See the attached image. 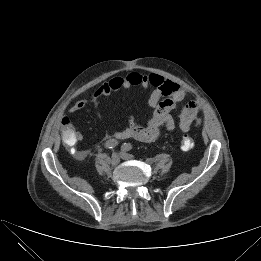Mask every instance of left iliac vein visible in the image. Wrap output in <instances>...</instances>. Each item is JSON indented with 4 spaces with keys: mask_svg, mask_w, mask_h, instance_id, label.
Segmentation results:
<instances>
[{
    "mask_svg": "<svg viewBox=\"0 0 261 261\" xmlns=\"http://www.w3.org/2000/svg\"><path fill=\"white\" fill-rule=\"evenodd\" d=\"M121 158L124 159V160H128V159H131L132 156L128 153H125V152H122L121 153Z\"/></svg>",
    "mask_w": 261,
    "mask_h": 261,
    "instance_id": "1",
    "label": "left iliac vein"
}]
</instances>
